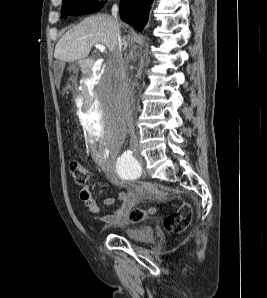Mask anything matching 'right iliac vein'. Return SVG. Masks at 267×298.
I'll return each mask as SVG.
<instances>
[{"mask_svg": "<svg viewBox=\"0 0 267 298\" xmlns=\"http://www.w3.org/2000/svg\"><path fill=\"white\" fill-rule=\"evenodd\" d=\"M131 150L136 154L138 153V145L137 144H133L131 145Z\"/></svg>", "mask_w": 267, "mask_h": 298, "instance_id": "obj_1", "label": "right iliac vein"}]
</instances>
